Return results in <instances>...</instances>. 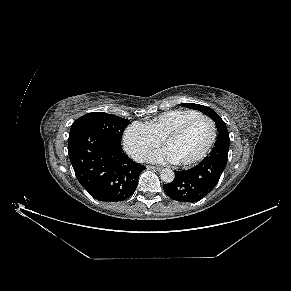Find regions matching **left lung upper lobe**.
Instances as JSON below:
<instances>
[{
	"instance_id": "5c2ea615",
	"label": "left lung upper lobe",
	"mask_w": 291,
	"mask_h": 291,
	"mask_svg": "<svg viewBox=\"0 0 291 291\" xmlns=\"http://www.w3.org/2000/svg\"><path fill=\"white\" fill-rule=\"evenodd\" d=\"M180 106H185V107L190 108V109L199 110V111L205 113L206 115H208L212 120L215 121V123L217 125V129H218L217 141H220V140L230 141L229 133H228L225 122L221 119V117L213 109H211L207 106H204V105L194 104V103H184V104H180Z\"/></svg>"
}]
</instances>
